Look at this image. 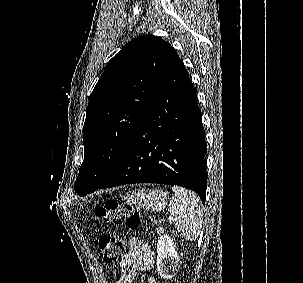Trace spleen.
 Segmentation results:
<instances>
[{
	"instance_id": "spleen-1",
	"label": "spleen",
	"mask_w": 303,
	"mask_h": 283,
	"mask_svg": "<svg viewBox=\"0 0 303 283\" xmlns=\"http://www.w3.org/2000/svg\"><path fill=\"white\" fill-rule=\"evenodd\" d=\"M168 211L176 217V228L187 240H195L201 231L203 209L200 198L190 190L178 186L172 187Z\"/></svg>"
}]
</instances>
